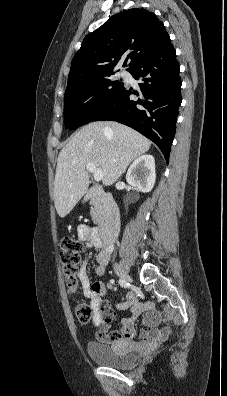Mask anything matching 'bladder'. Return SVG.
Segmentation results:
<instances>
[{
    "label": "bladder",
    "mask_w": 227,
    "mask_h": 396,
    "mask_svg": "<svg viewBox=\"0 0 227 396\" xmlns=\"http://www.w3.org/2000/svg\"><path fill=\"white\" fill-rule=\"evenodd\" d=\"M89 358L103 366L114 369H128L138 360L139 355L125 342L112 344L101 342H89L87 344Z\"/></svg>",
    "instance_id": "obj_1"
}]
</instances>
